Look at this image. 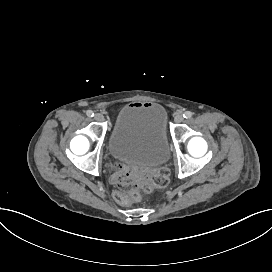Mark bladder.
Returning a JSON list of instances; mask_svg holds the SVG:
<instances>
[{
    "instance_id": "obj_1",
    "label": "bladder",
    "mask_w": 272,
    "mask_h": 272,
    "mask_svg": "<svg viewBox=\"0 0 272 272\" xmlns=\"http://www.w3.org/2000/svg\"><path fill=\"white\" fill-rule=\"evenodd\" d=\"M166 124L165 110L158 103L124 106L107 138L110 156L149 168L166 164L169 157Z\"/></svg>"
}]
</instances>
